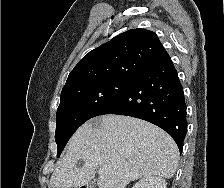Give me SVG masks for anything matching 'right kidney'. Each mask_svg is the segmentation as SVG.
Wrapping results in <instances>:
<instances>
[{"mask_svg":"<svg viewBox=\"0 0 224 188\" xmlns=\"http://www.w3.org/2000/svg\"><path fill=\"white\" fill-rule=\"evenodd\" d=\"M165 179L159 176H148L139 180L132 188H167Z\"/></svg>","mask_w":224,"mask_h":188,"instance_id":"1","label":"right kidney"}]
</instances>
